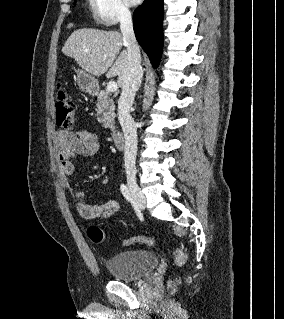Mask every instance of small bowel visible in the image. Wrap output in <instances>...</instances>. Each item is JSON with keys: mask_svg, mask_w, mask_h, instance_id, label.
Listing matches in <instances>:
<instances>
[{"mask_svg": "<svg viewBox=\"0 0 284 319\" xmlns=\"http://www.w3.org/2000/svg\"><path fill=\"white\" fill-rule=\"evenodd\" d=\"M59 147V162L62 176L68 178L74 172L75 158H90L101 148L96 132L82 128L76 131H59L57 133ZM75 205L81 218L89 221L109 219L116 216L121 205L116 200H109L103 204H89L81 191H75Z\"/></svg>", "mask_w": 284, "mask_h": 319, "instance_id": "small-bowel-1", "label": "small bowel"}]
</instances>
